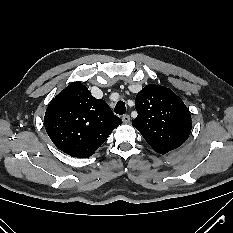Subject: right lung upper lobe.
Returning <instances> with one entry per match:
<instances>
[{
    "label": "right lung upper lobe",
    "instance_id": "obj_1",
    "mask_svg": "<svg viewBox=\"0 0 233 233\" xmlns=\"http://www.w3.org/2000/svg\"><path fill=\"white\" fill-rule=\"evenodd\" d=\"M122 120L87 87L73 82L48 105L44 125L52 142L64 153L88 158L105 142Z\"/></svg>",
    "mask_w": 233,
    "mask_h": 233
}]
</instances>
